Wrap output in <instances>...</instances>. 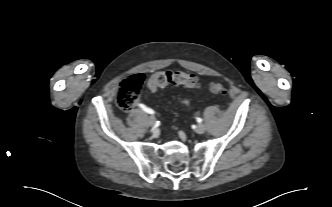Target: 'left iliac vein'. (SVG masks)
Listing matches in <instances>:
<instances>
[{
	"label": "left iliac vein",
	"mask_w": 332,
	"mask_h": 207,
	"mask_svg": "<svg viewBox=\"0 0 332 207\" xmlns=\"http://www.w3.org/2000/svg\"><path fill=\"white\" fill-rule=\"evenodd\" d=\"M205 130H206V127L202 123L198 124L197 127H196V129H195L196 133H198V134L204 133Z\"/></svg>",
	"instance_id": "1"
}]
</instances>
